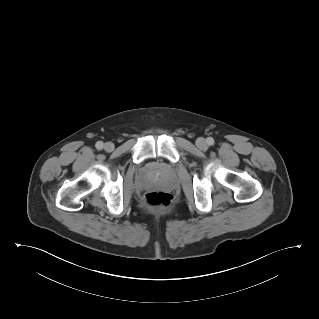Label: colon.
Segmentation results:
<instances>
[{"mask_svg": "<svg viewBox=\"0 0 319 319\" xmlns=\"http://www.w3.org/2000/svg\"><path fill=\"white\" fill-rule=\"evenodd\" d=\"M144 200L151 207H165L172 201V196L164 191H151L145 194Z\"/></svg>", "mask_w": 319, "mask_h": 319, "instance_id": "5ec220e1", "label": "colon"}]
</instances>
